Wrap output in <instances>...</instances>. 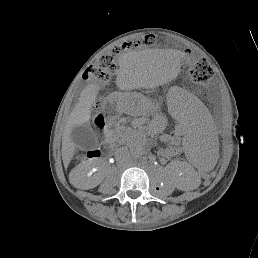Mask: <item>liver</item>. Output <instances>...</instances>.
<instances>
[{
	"mask_svg": "<svg viewBox=\"0 0 258 258\" xmlns=\"http://www.w3.org/2000/svg\"><path fill=\"white\" fill-rule=\"evenodd\" d=\"M122 71L117 77V86L121 90L132 88V84L136 77L139 76H160L165 75V72L160 69V66L152 62L135 59H124L122 63ZM98 89L94 84L88 85L81 93L79 102L74 107L70 119L65 127L62 137V160L65 166H68L74 156L76 144L71 139L73 127L81 126L90 120L91 107L97 99ZM76 169H79L77 167ZM73 169L69 174L70 182L79 189H89L93 184L91 181L78 180L74 177Z\"/></svg>",
	"mask_w": 258,
	"mask_h": 258,
	"instance_id": "liver-1",
	"label": "liver"
}]
</instances>
